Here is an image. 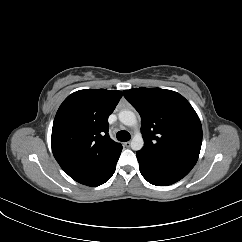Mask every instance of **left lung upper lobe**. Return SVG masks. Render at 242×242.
<instances>
[{
	"instance_id": "obj_1",
	"label": "left lung upper lobe",
	"mask_w": 242,
	"mask_h": 242,
	"mask_svg": "<svg viewBox=\"0 0 242 242\" xmlns=\"http://www.w3.org/2000/svg\"><path fill=\"white\" fill-rule=\"evenodd\" d=\"M123 93L142 119L145 144L141 151L192 169L201 149L202 126L189 102L175 91L160 88H135Z\"/></svg>"
}]
</instances>
